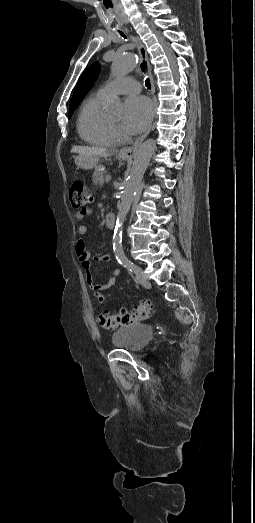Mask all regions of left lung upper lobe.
Here are the masks:
<instances>
[{
    "label": "left lung upper lobe",
    "mask_w": 255,
    "mask_h": 523,
    "mask_svg": "<svg viewBox=\"0 0 255 523\" xmlns=\"http://www.w3.org/2000/svg\"><path fill=\"white\" fill-rule=\"evenodd\" d=\"M100 71V66L98 62L93 63L81 76L79 79L73 96L71 98L70 106H69V115L68 118L71 117L72 113L76 109V107L80 104L82 99L85 97L87 92L92 88L94 85L98 74Z\"/></svg>",
    "instance_id": "obj_1"
}]
</instances>
